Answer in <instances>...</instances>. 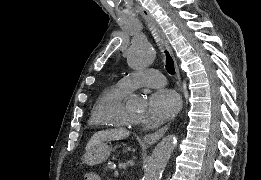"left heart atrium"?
<instances>
[{
    "label": "left heart atrium",
    "mask_w": 261,
    "mask_h": 180,
    "mask_svg": "<svg viewBox=\"0 0 261 180\" xmlns=\"http://www.w3.org/2000/svg\"><path fill=\"white\" fill-rule=\"evenodd\" d=\"M180 108L178 94L167 88H159L152 92L142 112L143 120H164L173 116Z\"/></svg>",
    "instance_id": "1"
}]
</instances>
